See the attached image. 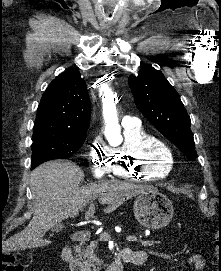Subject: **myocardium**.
<instances>
[{"mask_svg":"<svg viewBox=\"0 0 221 271\" xmlns=\"http://www.w3.org/2000/svg\"><path fill=\"white\" fill-rule=\"evenodd\" d=\"M154 147H166V145H155ZM166 150H154L152 153H147L146 156H142L140 159L142 160L141 169H146V163L153 161L156 167H159L161 164L159 161L166 159L168 156H160L162 153H165Z\"/></svg>","mask_w":221,"mask_h":271,"instance_id":"f54148a6","label":"myocardium"}]
</instances>
